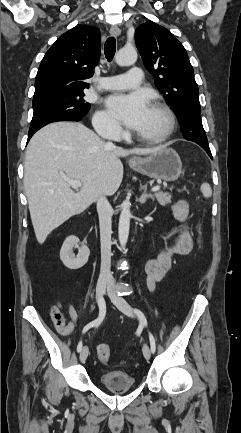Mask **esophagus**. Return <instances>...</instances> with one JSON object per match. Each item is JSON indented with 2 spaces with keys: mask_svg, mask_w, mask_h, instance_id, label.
<instances>
[{
  "mask_svg": "<svg viewBox=\"0 0 241 433\" xmlns=\"http://www.w3.org/2000/svg\"><path fill=\"white\" fill-rule=\"evenodd\" d=\"M110 35L114 37H118L121 35V30L117 26H113L110 29Z\"/></svg>",
  "mask_w": 241,
  "mask_h": 433,
  "instance_id": "34e87169",
  "label": "esophagus"
}]
</instances>
